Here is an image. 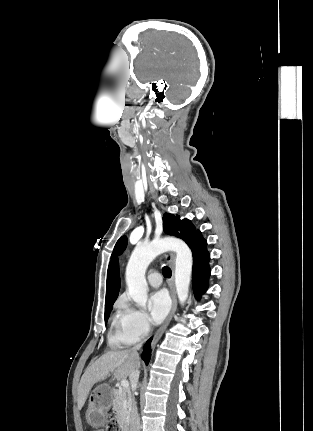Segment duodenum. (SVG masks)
I'll use <instances>...</instances> for the list:
<instances>
[{"label":"duodenum","instance_id":"obj_1","mask_svg":"<svg viewBox=\"0 0 313 431\" xmlns=\"http://www.w3.org/2000/svg\"><path fill=\"white\" fill-rule=\"evenodd\" d=\"M122 431H136L130 417H126L122 423Z\"/></svg>","mask_w":313,"mask_h":431}]
</instances>
